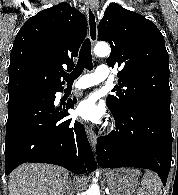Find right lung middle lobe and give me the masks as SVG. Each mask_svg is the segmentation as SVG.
<instances>
[{
	"mask_svg": "<svg viewBox=\"0 0 178 195\" xmlns=\"http://www.w3.org/2000/svg\"><path fill=\"white\" fill-rule=\"evenodd\" d=\"M25 93L37 94V95H47V94H49L48 91H43V90L28 91V92H25Z\"/></svg>",
	"mask_w": 178,
	"mask_h": 195,
	"instance_id": "1",
	"label": "right lung middle lobe"
}]
</instances>
